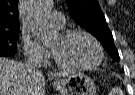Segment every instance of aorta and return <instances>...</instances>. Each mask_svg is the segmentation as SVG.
<instances>
[{"instance_id":"1","label":"aorta","mask_w":135,"mask_h":95,"mask_svg":"<svg viewBox=\"0 0 135 95\" xmlns=\"http://www.w3.org/2000/svg\"><path fill=\"white\" fill-rule=\"evenodd\" d=\"M52 7L51 0H33L30 6L29 23L33 35L43 43L57 38V32L51 29L47 15Z\"/></svg>"}]
</instances>
